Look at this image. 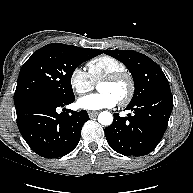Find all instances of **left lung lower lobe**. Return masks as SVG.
<instances>
[{"label": "left lung lower lobe", "instance_id": "1", "mask_svg": "<svg viewBox=\"0 0 193 193\" xmlns=\"http://www.w3.org/2000/svg\"><path fill=\"white\" fill-rule=\"evenodd\" d=\"M134 115L120 117L114 113L113 123L105 128L110 147L125 156H143L161 141L173 109L169 84L159 87L140 101L129 104Z\"/></svg>", "mask_w": 193, "mask_h": 193}]
</instances>
